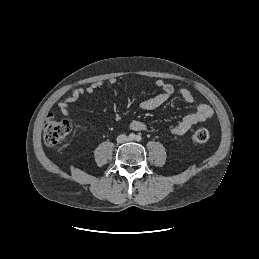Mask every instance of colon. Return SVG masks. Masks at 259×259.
<instances>
[{
	"instance_id": "1",
	"label": "colon",
	"mask_w": 259,
	"mask_h": 259,
	"mask_svg": "<svg viewBox=\"0 0 259 259\" xmlns=\"http://www.w3.org/2000/svg\"><path fill=\"white\" fill-rule=\"evenodd\" d=\"M71 131V124L67 120H57L49 116L44 126V142L49 146L63 143ZM194 143L202 144L209 140V132L205 128H199L192 134Z\"/></svg>"
}]
</instances>
